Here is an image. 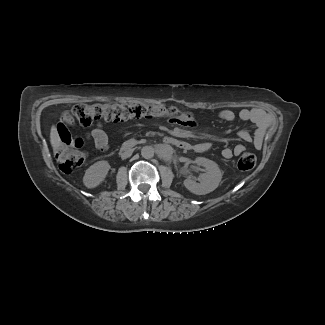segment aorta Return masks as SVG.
<instances>
[{
    "instance_id": "aorta-1",
    "label": "aorta",
    "mask_w": 325,
    "mask_h": 325,
    "mask_svg": "<svg viewBox=\"0 0 325 325\" xmlns=\"http://www.w3.org/2000/svg\"><path fill=\"white\" fill-rule=\"evenodd\" d=\"M154 153H155V149L152 146H144L141 149V155L145 159H151V158H153Z\"/></svg>"
}]
</instances>
